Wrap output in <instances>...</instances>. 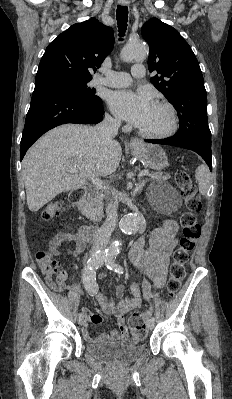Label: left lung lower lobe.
Returning <instances> with one entry per match:
<instances>
[{
	"label": "left lung lower lobe",
	"instance_id": "left-lung-lower-lobe-1",
	"mask_svg": "<svg viewBox=\"0 0 232 399\" xmlns=\"http://www.w3.org/2000/svg\"><path fill=\"white\" fill-rule=\"evenodd\" d=\"M145 141L149 142V143H154V144L177 146V147H182L185 149L195 151L206 161L210 170H212L211 147H207V146H205L199 142H196V141L177 138L175 136L166 138V139H160V140L150 139V140H145Z\"/></svg>",
	"mask_w": 232,
	"mask_h": 399
}]
</instances>
